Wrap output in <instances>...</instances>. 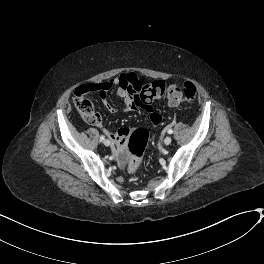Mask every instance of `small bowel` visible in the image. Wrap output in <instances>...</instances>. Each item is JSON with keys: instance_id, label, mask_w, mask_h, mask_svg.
Listing matches in <instances>:
<instances>
[{"instance_id": "1", "label": "small bowel", "mask_w": 264, "mask_h": 264, "mask_svg": "<svg viewBox=\"0 0 264 264\" xmlns=\"http://www.w3.org/2000/svg\"><path fill=\"white\" fill-rule=\"evenodd\" d=\"M97 86V92L107 110L110 113L114 112V109L109 104L107 92L114 86L117 88V95L123 100L124 108L126 111L137 112L138 107L134 102V96L136 92L142 86V80L134 72H124L112 78L109 81L102 82ZM170 106H177L169 102ZM145 110L149 113V122L152 126H158L161 123V116L155 112L151 107H145ZM97 126L107 135V137L113 142L114 147L112 149V155L114 156L117 164L120 167H124L127 162V155L124 151V144L126 139L130 136L132 132L131 127H121L116 132L110 131L103 123L100 121Z\"/></svg>"}]
</instances>
